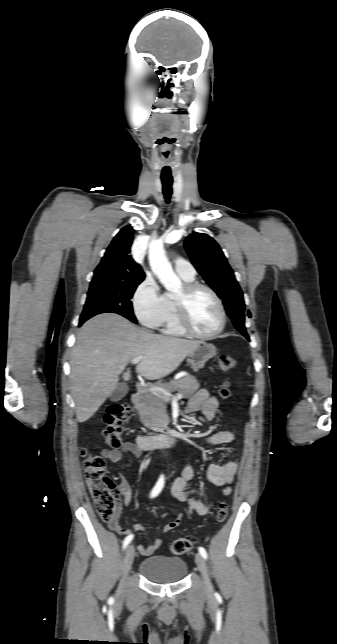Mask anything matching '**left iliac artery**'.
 Returning a JSON list of instances; mask_svg holds the SVG:
<instances>
[{
	"instance_id": "obj_1",
	"label": "left iliac artery",
	"mask_w": 337,
	"mask_h": 644,
	"mask_svg": "<svg viewBox=\"0 0 337 644\" xmlns=\"http://www.w3.org/2000/svg\"><path fill=\"white\" fill-rule=\"evenodd\" d=\"M198 550H199V553L201 554V556H202L204 559H207L208 555H207L206 550H205L203 547H199V548H198Z\"/></svg>"
}]
</instances>
